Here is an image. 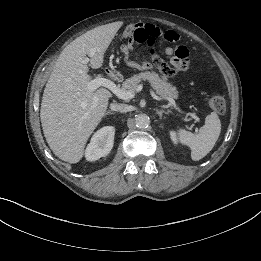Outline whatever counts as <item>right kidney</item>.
Wrapping results in <instances>:
<instances>
[{
    "instance_id": "ca27d5eb",
    "label": "right kidney",
    "mask_w": 261,
    "mask_h": 261,
    "mask_svg": "<svg viewBox=\"0 0 261 261\" xmlns=\"http://www.w3.org/2000/svg\"><path fill=\"white\" fill-rule=\"evenodd\" d=\"M114 135L113 126H105L95 132L85 150L86 160L95 161L108 155L114 144Z\"/></svg>"
}]
</instances>
